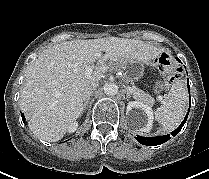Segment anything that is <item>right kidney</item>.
Returning <instances> with one entry per match:
<instances>
[{
  "mask_svg": "<svg viewBox=\"0 0 209 179\" xmlns=\"http://www.w3.org/2000/svg\"><path fill=\"white\" fill-rule=\"evenodd\" d=\"M77 127H78V123H77L76 121H74V122L71 123L70 126L68 127L67 132H68V133H73V132L76 131Z\"/></svg>",
  "mask_w": 209,
  "mask_h": 179,
  "instance_id": "obj_1",
  "label": "right kidney"
}]
</instances>
